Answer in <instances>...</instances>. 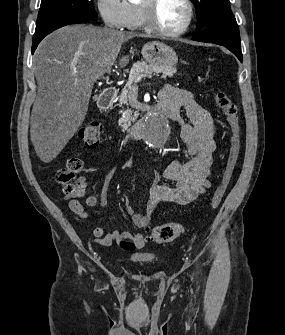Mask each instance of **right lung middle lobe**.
<instances>
[{
	"label": "right lung middle lobe",
	"instance_id": "right-lung-middle-lobe-1",
	"mask_svg": "<svg viewBox=\"0 0 285 335\" xmlns=\"http://www.w3.org/2000/svg\"><path fill=\"white\" fill-rule=\"evenodd\" d=\"M93 0H41L36 27L62 17H81L97 20Z\"/></svg>",
	"mask_w": 285,
	"mask_h": 335
}]
</instances>
